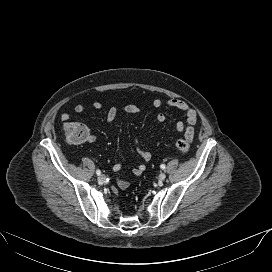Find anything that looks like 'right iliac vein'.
<instances>
[{
	"instance_id": "1",
	"label": "right iliac vein",
	"mask_w": 272,
	"mask_h": 272,
	"mask_svg": "<svg viewBox=\"0 0 272 272\" xmlns=\"http://www.w3.org/2000/svg\"><path fill=\"white\" fill-rule=\"evenodd\" d=\"M105 180H106V178H105L104 175H99V176H98V182H99L100 184H103V183L105 182Z\"/></svg>"
}]
</instances>
